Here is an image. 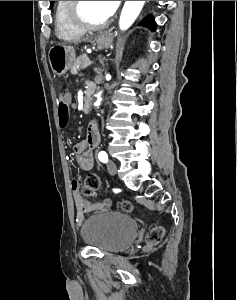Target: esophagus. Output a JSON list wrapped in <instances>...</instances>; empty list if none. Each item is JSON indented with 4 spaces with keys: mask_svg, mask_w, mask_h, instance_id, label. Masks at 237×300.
<instances>
[{
    "mask_svg": "<svg viewBox=\"0 0 237 300\" xmlns=\"http://www.w3.org/2000/svg\"><path fill=\"white\" fill-rule=\"evenodd\" d=\"M101 37H105V35H101Z\"/></svg>",
    "mask_w": 237,
    "mask_h": 300,
    "instance_id": "1",
    "label": "esophagus"
}]
</instances>
